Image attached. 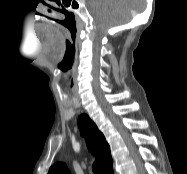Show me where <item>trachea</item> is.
<instances>
[{
    "mask_svg": "<svg viewBox=\"0 0 187 174\" xmlns=\"http://www.w3.org/2000/svg\"><path fill=\"white\" fill-rule=\"evenodd\" d=\"M94 174H104L102 166L99 162H95L93 165Z\"/></svg>",
    "mask_w": 187,
    "mask_h": 174,
    "instance_id": "3493384b",
    "label": "trachea"
}]
</instances>
